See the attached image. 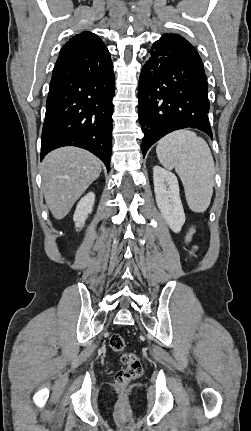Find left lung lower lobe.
Masks as SVG:
<instances>
[{
    "instance_id": "obj_1",
    "label": "left lung lower lobe",
    "mask_w": 251,
    "mask_h": 431,
    "mask_svg": "<svg viewBox=\"0 0 251 431\" xmlns=\"http://www.w3.org/2000/svg\"><path fill=\"white\" fill-rule=\"evenodd\" d=\"M138 89L143 156L178 129L197 128L212 138L207 77L198 52L185 38L165 34L152 45Z\"/></svg>"
}]
</instances>
